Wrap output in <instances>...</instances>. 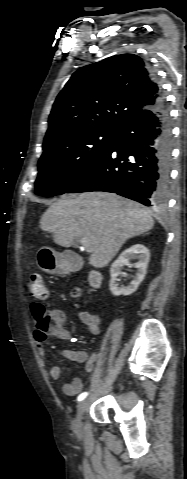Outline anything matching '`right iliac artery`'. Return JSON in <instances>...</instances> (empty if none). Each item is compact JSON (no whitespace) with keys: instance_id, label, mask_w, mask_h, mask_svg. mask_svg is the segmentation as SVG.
Listing matches in <instances>:
<instances>
[{"instance_id":"1","label":"right iliac artery","mask_w":187,"mask_h":479,"mask_svg":"<svg viewBox=\"0 0 187 479\" xmlns=\"http://www.w3.org/2000/svg\"><path fill=\"white\" fill-rule=\"evenodd\" d=\"M87 395H88L87 392H83L78 396L77 400L82 401L83 399H85L87 397Z\"/></svg>"}]
</instances>
